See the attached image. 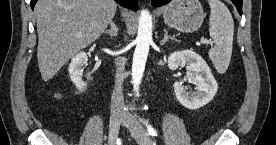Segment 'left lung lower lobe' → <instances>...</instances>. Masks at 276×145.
Wrapping results in <instances>:
<instances>
[{"label": "left lung lower lobe", "mask_w": 276, "mask_h": 145, "mask_svg": "<svg viewBox=\"0 0 276 145\" xmlns=\"http://www.w3.org/2000/svg\"><path fill=\"white\" fill-rule=\"evenodd\" d=\"M170 1L171 0H152V5L155 6V7H159V6H162V5H164V4H166ZM232 2L236 6L239 14L242 15V2H243V0H232Z\"/></svg>", "instance_id": "1"}]
</instances>
